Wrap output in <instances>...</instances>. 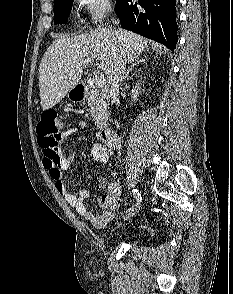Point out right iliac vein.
<instances>
[{
  "mask_svg": "<svg viewBox=\"0 0 233 294\" xmlns=\"http://www.w3.org/2000/svg\"><path fill=\"white\" fill-rule=\"evenodd\" d=\"M136 213V209L132 208L130 209L127 213H126V216L124 218V220H128L130 219L133 215H135Z\"/></svg>",
  "mask_w": 233,
  "mask_h": 294,
  "instance_id": "63e3f726",
  "label": "right iliac vein"
}]
</instances>
